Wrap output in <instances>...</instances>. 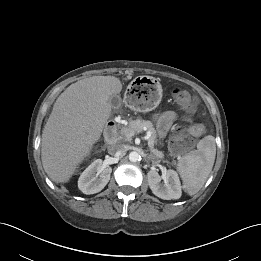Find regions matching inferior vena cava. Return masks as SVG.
Wrapping results in <instances>:
<instances>
[{"mask_svg": "<svg viewBox=\"0 0 261 261\" xmlns=\"http://www.w3.org/2000/svg\"><path fill=\"white\" fill-rule=\"evenodd\" d=\"M109 153L111 155H114L116 157L121 156L122 154H124L127 150L126 147L124 145L121 144H116V145H112L109 147L108 149Z\"/></svg>", "mask_w": 261, "mask_h": 261, "instance_id": "inferior-vena-cava-1", "label": "inferior vena cava"}]
</instances>
